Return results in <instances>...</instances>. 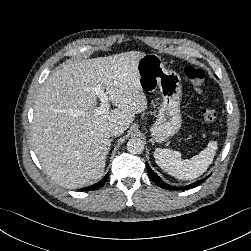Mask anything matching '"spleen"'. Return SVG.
<instances>
[{"label":"spleen","instance_id":"obj_1","mask_svg":"<svg viewBox=\"0 0 251 251\" xmlns=\"http://www.w3.org/2000/svg\"><path fill=\"white\" fill-rule=\"evenodd\" d=\"M217 151V141H210L207 148L190 159H181L178 151L157 148L154 158L158 166L169 175L182 180H193L202 175L212 163Z\"/></svg>","mask_w":251,"mask_h":251}]
</instances>
